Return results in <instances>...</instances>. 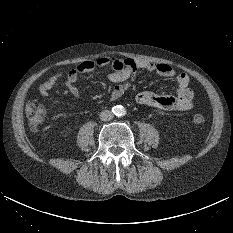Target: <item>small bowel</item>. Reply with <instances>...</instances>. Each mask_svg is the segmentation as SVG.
I'll return each instance as SVG.
<instances>
[{"label": "small bowel", "mask_w": 233, "mask_h": 233, "mask_svg": "<svg viewBox=\"0 0 233 233\" xmlns=\"http://www.w3.org/2000/svg\"><path fill=\"white\" fill-rule=\"evenodd\" d=\"M110 66L112 71L106 74L108 81L115 83L109 92L108 99L116 101L120 99L132 86L137 71L144 70L173 78L177 89L175 94L161 95L150 91H143L136 95L135 100L139 105L155 107L165 111H185L193 107V91L190 88V77L187 73L177 72L175 68L164 63H152L144 60L118 57H99L79 63L65 75V84L71 95L77 99L81 97L80 90L76 86L79 75ZM63 76L57 73L39 86L41 98H45L48 92L57 84Z\"/></svg>", "instance_id": "1"}]
</instances>
